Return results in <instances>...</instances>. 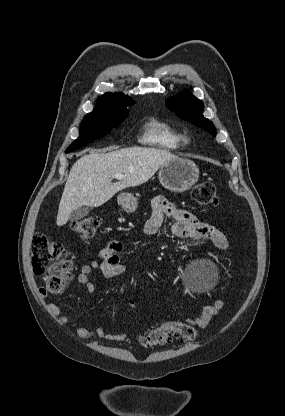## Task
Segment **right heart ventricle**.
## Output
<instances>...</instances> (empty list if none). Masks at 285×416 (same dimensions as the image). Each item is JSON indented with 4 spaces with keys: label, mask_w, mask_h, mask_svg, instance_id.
I'll return each instance as SVG.
<instances>
[{
    "label": "right heart ventricle",
    "mask_w": 285,
    "mask_h": 416,
    "mask_svg": "<svg viewBox=\"0 0 285 416\" xmlns=\"http://www.w3.org/2000/svg\"><path fill=\"white\" fill-rule=\"evenodd\" d=\"M142 142L161 150H177L183 145L184 138L170 123L154 119L146 125Z\"/></svg>",
    "instance_id": "1"
}]
</instances>
